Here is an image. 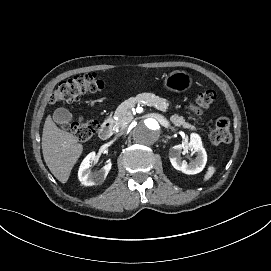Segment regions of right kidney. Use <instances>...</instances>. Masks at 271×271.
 Segmentation results:
<instances>
[{
  "mask_svg": "<svg viewBox=\"0 0 271 271\" xmlns=\"http://www.w3.org/2000/svg\"><path fill=\"white\" fill-rule=\"evenodd\" d=\"M96 161L95 152L89 153L81 162L78 168V180L83 186H93L102 183L110 168L111 165H105L100 170L95 173H91V164Z\"/></svg>",
  "mask_w": 271,
  "mask_h": 271,
  "instance_id": "right-kidney-1",
  "label": "right kidney"
}]
</instances>
